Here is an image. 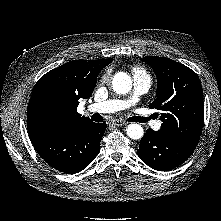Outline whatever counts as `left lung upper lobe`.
<instances>
[{
    "mask_svg": "<svg viewBox=\"0 0 221 221\" xmlns=\"http://www.w3.org/2000/svg\"><path fill=\"white\" fill-rule=\"evenodd\" d=\"M143 59L157 76V97L149 107L162 112L163 123L158 132L196 146L204 120L203 92L198 75L169 58L146 56Z\"/></svg>",
    "mask_w": 221,
    "mask_h": 221,
    "instance_id": "left-lung-upper-lobe-1",
    "label": "left lung upper lobe"
}]
</instances>
